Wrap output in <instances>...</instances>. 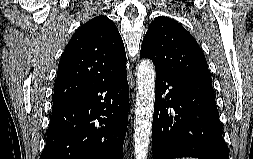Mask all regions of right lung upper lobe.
Here are the masks:
<instances>
[{
    "label": "right lung upper lobe",
    "mask_w": 253,
    "mask_h": 159,
    "mask_svg": "<svg viewBox=\"0 0 253 159\" xmlns=\"http://www.w3.org/2000/svg\"><path fill=\"white\" fill-rule=\"evenodd\" d=\"M126 70V53L115 23L97 16L79 27L67 44L54 86L53 104H66Z\"/></svg>",
    "instance_id": "obj_1"
}]
</instances>
